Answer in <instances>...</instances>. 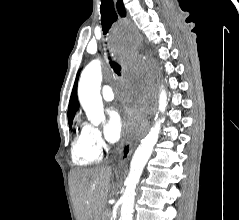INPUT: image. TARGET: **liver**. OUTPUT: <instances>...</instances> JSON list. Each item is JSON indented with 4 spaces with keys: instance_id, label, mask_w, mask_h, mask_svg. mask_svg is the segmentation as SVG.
Instances as JSON below:
<instances>
[{
    "instance_id": "6515ba94",
    "label": "liver",
    "mask_w": 239,
    "mask_h": 220,
    "mask_svg": "<svg viewBox=\"0 0 239 220\" xmlns=\"http://www.w3.org/2000/svg\"><path fill=\"white\" fill-rule=\"evenodd\" d=\"M112 168L73 169L69 182L77 220H102L111 189Z\"/></svg>"
}]
</instances>
